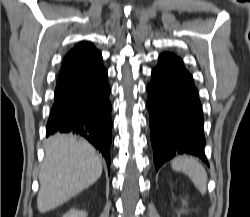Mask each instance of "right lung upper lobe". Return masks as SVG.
Returning a JSON list of instances; mask_svg holds the SVG:
<instances>
[{
  "instance_id": "obj_1",
  "label": "right lung upper lobe",
  "mask_w": 250,
  "mask_h": 217,
  "mask_svg": "<svg viewBox=\"0 0 250 217\" xmlns=\"http://www.w3.org/2000/svg\"><path fill=\"white\" fill-rule=\"evenodd\" d=\"M99 54L100 52L94 47L93 44L80 42L66 55L59 77L81 69Z\"/></svg>"
}]
</instances>
